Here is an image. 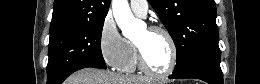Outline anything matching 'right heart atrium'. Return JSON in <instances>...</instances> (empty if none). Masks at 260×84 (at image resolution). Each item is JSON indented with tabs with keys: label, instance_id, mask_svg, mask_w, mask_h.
<instances>
[{
	"label": "right heart atrium",
	"instance_id": "right-heart-atrium-1",
	"mask_svg": "<svg viewBox=\"0 0 260 84\" xmlns=\"http://www.w3.org/2000/svg\"><path fill=\"white\" fill-rule=\"evenodd\" d=\"M98 48L102 59L112 68H117L126 55V40L110 15L106 16L101 24Z\"/></svg>",
	"mask_w": 260,
	"mask_h": 84
}]
</instances>
